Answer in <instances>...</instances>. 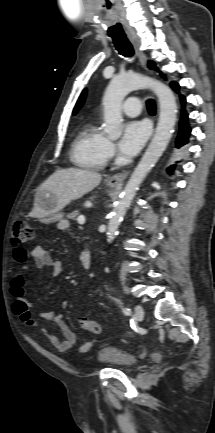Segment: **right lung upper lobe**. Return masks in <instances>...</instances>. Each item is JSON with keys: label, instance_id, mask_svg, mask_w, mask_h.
<instances>
[{"label": "right lung upper lobe", "instance_id": "1", "mask_svg": "<svg viewBox=\"0 0 215 433\" xmlns=\"http://www.w3.org/2000/svg\"><path fill=\"white\" fill-rule=\"evenodd\" d=\"M85 96H86V90H84L82 92V94L80 95V97H79V99L75 105L74 113H76L82 107L84 100H85Z\"/></svg>", "mask_w": 215, "mask_h": 433}]
</instances>
